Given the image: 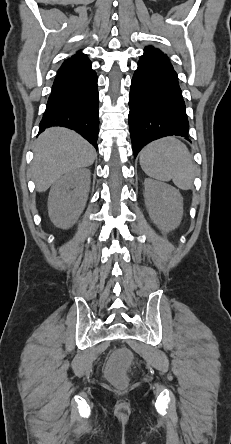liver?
I'll return each instance as SVG.
<instances>
[{"mask_svg":"<svg viewBox=\"0 0 231 444\" xmlns=\"http://www.w3.org/2000/svg\"><path fill=\"white\" fill-rule=\"evenodd\" d=\"M94 147L76 132L60 127L45 130L37 139L31 167L38 192L46 191L63 175L93 164Z\"/></svg>","mask_w":231,"mask_h":444,"instance_id":"obj_1","label":"liver"}]
</instances>
